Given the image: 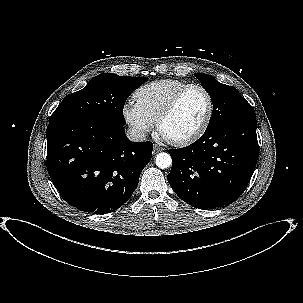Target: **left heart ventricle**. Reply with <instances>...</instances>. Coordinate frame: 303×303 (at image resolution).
Returning a JSON list of instances; mask_svg holds the SVG:
<instances>
[{"label": "left heart ventricle", "mask_w": 303, "mask_h": 303, "mask_svg": "<svg viewBox=\"0 0 303 303\" xmlns=\"http://www.w3.org/2000/svg\"><path fill=\"white\" fill-rule=\"evenodd\" d=\"M207 107V99L202 91L189 90L181 99L174 113L163 124V133L170 138L188 136L201 124Z\"/></svg>", "instance_id": "left-heart-ventricle-1"}]
</instances>
